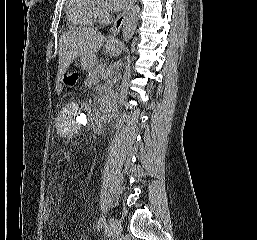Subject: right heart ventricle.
I'll return each mask as SVG.
<instances>
[{"mask_svg":"<svg viewBox=\"0 0 257 240\" xmlns=\"http://www.w3.org/2000/svg\"><path fill=\"white\" fill-rule=\"evenodd\" d=\"M97 0H66L69 22L74 26L91 27L99 22Z\"/></svg>","mask_w":257,"mask_h":240,"instance_id":"1","label":"right heart ventricle"}]
</instances>
